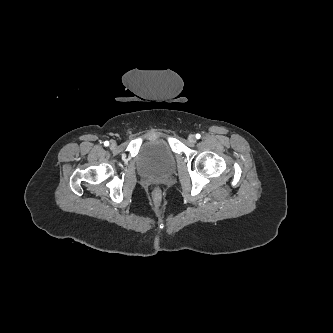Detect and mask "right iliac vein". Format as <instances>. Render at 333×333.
<instances>
[{
    "mask_svg": "<svg viewBox=\"0 0 333 333\" xmlns=\"http://www.w3.org/2000/svg\"><path fill=\"white\" fill-rule=\"evenodd\" d=\"M111 148L114 149L116 147V142L115 141H111Z\"/></svg>",
    "mask_w": 333,
    "mask_h": 333,
    "instance_id": "obj_1",
    "label": "right iliac vein"
}]
</instances>
